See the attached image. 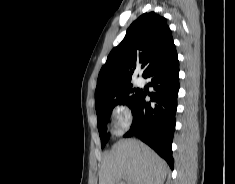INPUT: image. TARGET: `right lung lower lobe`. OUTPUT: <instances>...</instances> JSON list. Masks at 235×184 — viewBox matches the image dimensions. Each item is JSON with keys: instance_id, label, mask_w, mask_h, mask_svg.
I'll list each match as a JSON object with an SVG mask.
<instances>
[{"instance_id": "98d812e1", "label": "right lung lower lobe", "mask_w": 235, "mask_h": 184, "mask_svg": "<svg viewBox=\"0 0 235 184\" xmlns=\"http://www.w3.org/2000/svg\"><path fill=\"white\" fill-rule=\"evenodd\" d=\"M178 73L179 61L175 51L144 76L151 79L153 91L148 93L151 102H146V94L140 91L130 105L133 123L125 134V137L136 136L149 145L166 160L171 169L174 167L171 145L179 90Z\"/></svg>"}]
</instances>
